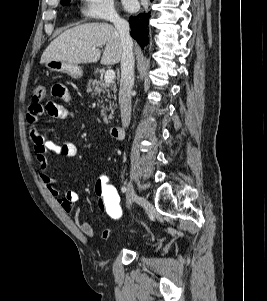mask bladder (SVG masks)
<instances>
[{"mask_svg":"<svg viewBox=\"0 0 267 301\" xmlns=\"http://www.w3.org/2000/svg\"><path fill=\"white\" fill-rule=\"evenodd\" d=\"M129 242H131V243H135V241H134V240H129Z\"/></svg>","mask_w":267,"mask_h":301,"instance_id":"31cf9c89","label":"bladder"}]
</instances>
